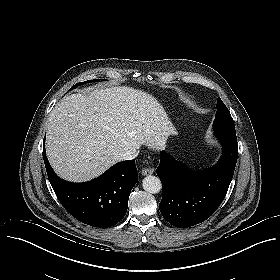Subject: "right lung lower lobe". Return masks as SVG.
<instances>
[{
    "mask_svg": "<svg viewBox=\"0 0 280 280\" xmlns=\"http://www.w3.org/2000/svg\"><path fill=\"white\" fill-rule=\"evenodd\" d=\"M43 159L58 200L77 220L93 227L108 228L125 216L129 195L138 180L135 159L117 163L85 183L60 179L49 165L45 149Z\"/></svg>",
    "mask_w": 280,
    "mask_h": 280,
    "instance_id": "right-lung-lower-lobe-1",
    "label": "right lung lower lobe"
}]
</instances>
